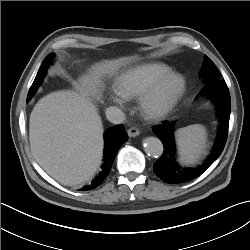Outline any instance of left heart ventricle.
I'll return each instance as SVG.
<instances>
[{"instance_id": "obj_1", "label": "left heart ventricle", "mask_w": 250, "mask_h": 250, "mask_svg": "<svg viewBox=\"0 0 250 250\" xmlns=\"http://www.w3.org/2000/svg\"><path fill=\"white\" fill-rule=\"evenodd\" d=\"M169 91H170L169 87L165 88V90L163 91V96L167 95Z\"/></svg>"}]
</instances>
